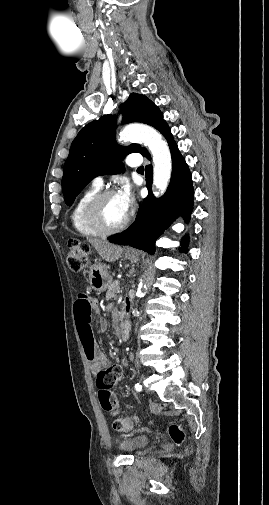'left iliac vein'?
Returning <instances> with one entry per match:
<instances>
[{"mask_svg": "<svg viewBox=\"0 0 269 505\" xmlns=\"http://www.w3.org/2000/svg\"><path fill=\"white\" fill-rule=\"evenodd\" d=\"M150 410L152 412H156V413H159L160 412V409H159V405L157 403H152L150 405Z\"/></svg>", "mask_w": 269, "mask_h": 505, "instance_id": "1", "label": "left iliac vein"}]
</instances>
